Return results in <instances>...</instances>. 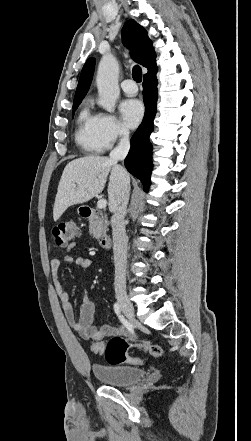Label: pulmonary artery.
Returning <instances> with one entry per match:
<instances>
[{"label":"pulmonary artery","mask_w":251,"mask_h":441,"mask_svg":"<svg viewBox=\"0 0 251 441\" xmlns=\"http://www.w3.org/2000/svg\"><path fill=\"white\" fill-rule=\"evenodd\" d=\"M121 88L128 95H135L138 91L137 85L132 79L122 81Z\"/></svg>","instance_id":"1"}]
</instances>
